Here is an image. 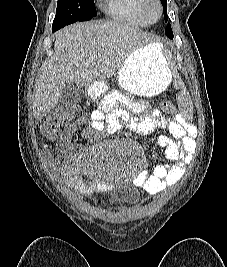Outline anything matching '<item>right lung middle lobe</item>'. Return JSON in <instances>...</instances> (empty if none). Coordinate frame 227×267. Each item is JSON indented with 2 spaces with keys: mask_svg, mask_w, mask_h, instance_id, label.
<instances>
[{
  "mask_svg": "<svg viewBox=\"0 0 227 267\" xmlns=\"http://www.w3.org/2000/svg\"><path fill=\"white\" fill-rule=\"evenodd\" d=\"M97 16L93 0H58L54 31L77 21H87Z\"/></svg>",
  "mask_w": 227,
  "mask_h": 267,
  "instance_id": "dd1d6c3e",
  "label": "right lung middle lobe"
}]
</instances>
